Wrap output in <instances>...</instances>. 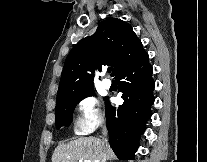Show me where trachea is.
<instances>
[{
  "instance_id": "3493384b",
  "label": "trachea",
  "mask_w": 207,
  "mask_h": 162,
  "mask_svg": "<svg viewBox=\"0 0 207 162\" xmlns=\"http://www.w3.org/2000/svg\"><path fill=\"white\" fill-rule=\"evenodd\" d=\"M107 71H108V73H110V72L112 71V68H108V70H107Z\"/></svg>"
}]
</instances>
